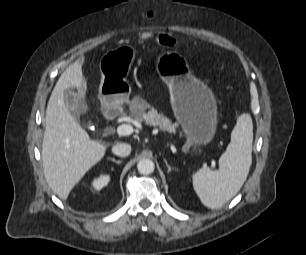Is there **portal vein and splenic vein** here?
I'll use <instances>...</instances> for the list:
<instances>
[{
  "label": "portal vein and splenic vein",
  "mask_w": 306,
  "mask_h": 255,
  "mask_svg": "<svg viewBox=\"0 0 306 255\" xmlns=\"http://www.w3.org/2000/svg\"><path fill=\"white\" fill-rule=\"evenodd\" d=\"M133 132V127L129 124H122L117 127L116 133L120 136H127L132 134Z\"/></svg>",
  "instance_id": "1"
}]
</instances>
